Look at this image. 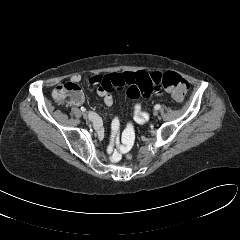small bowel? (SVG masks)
Instances as JSON below:
<instances>
[{"label": "small bowel", "mask_w": 240, "mask_h": 240, "mask_svg": "<svg viewBox=\"0 0 240 240\" xmlns=\"http://www.w3.org/2000/svg\"><path fill=\"white\" fill-rule=\"evenodd\" d=\"M82 80L81 75L74 74L70 77V81L79 83ZM90 84L98 85L97 94L101 97L107 106L113 104L112 93L121 90L127 86V95L132 99L142 97L144 100H148L152 95H159V85H157L153 79L152 74L145 71L138 72H124V73H111L107 75H98L89 78ZM84 102V97L73 100L71 102L74 106H79ZM134 120L139 124H144L149 119L148 112L143 108L141 103H137L134 106ZM91 121L96 127L100 135L103 134V124L99 115L92 112L90 114ZM120 121L119 117L115 116L112 123V133L117 139L119 136ZM126 133L133 134V128L131 124L127 125Z\"/></svg>", "instance_id": "1"}]
</instances>
